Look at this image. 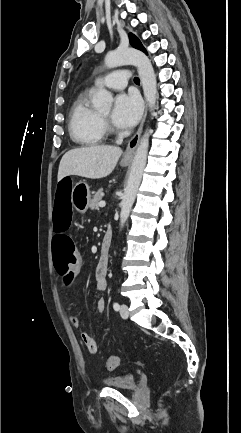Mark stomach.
Wrapping results in <instances>:
<instances>
[{
    "label": "stomach",
    "instance_id": "stomach-1",
    "mask_svg": "<svg viewBox=\"0 0 241 433\" xmlns=\"http://www.w3.org/2000/svg\"><path fill=\"white\" fill-rule=\"evenodd\" d=\"M122 166L129 165L128 161H122ZM91 201V195L89 186L85 182H78L72 187L71 204L80 213L87 211L89 203Z\"/></svg>",
    "mask_w": 241,
    "mask_h": 433
}]
</instances>
